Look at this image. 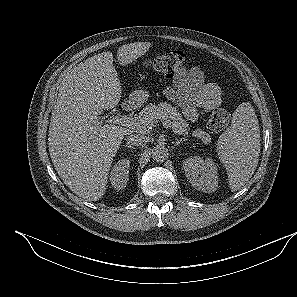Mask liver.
I'll list each match as a JSON object with an SVG mask.
<instances>
[{
  "instance_id": "liver-1",
  "label": "liver",
  "mask_w": 297,
  "mask_h": 297,
  "mask_svg": "<svg viewBox=\"0 0 297 297\" xmlns=\"http://www.w3.org/2000/svg\"><path fill=\"white\" fill-rule=\"evenodd\" d=\"M150 42H135L118 49L122 65L143 56ZM121 83L110 51L94 55L63 78L52 111L48 145L52 163L66 186L79 197L97 201L106 191L107 175L130 128L104 124L97 116L121 99Z\"/></svg>"
}]
</instances>
